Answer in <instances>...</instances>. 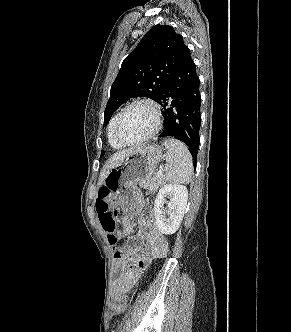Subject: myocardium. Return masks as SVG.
<instances>
[{"instance_id":"1","label":"myocardium","mask_w":291,"mask_h":332,"mask_svg":"<svg viewBox=\"0 0 291 332\" xmlns=\"http://www.w3.org/2000/svg\"><path fill=\"white\" fill-rule=\"evenodd\" d=\"M135 105H145V106L149 107L153 112L155 124H154L152 131L149 134H147L146 136H144L140 139H137V140H126L119 133V124H120L121 118L124 115V113L129 108H131ZM162 124H163L162 112H161V108L158 105V103H156L154 100L148 99V98L136 99V100H133L130 103H128L126 106H124L121 109V111L117 114L115 124H114V134H115L116 139L124 145H137V144L144 143V142L150 140L151 138H153L154 136H156L158 134V132L160 131Z\"/></svg>"}]
</instances>
